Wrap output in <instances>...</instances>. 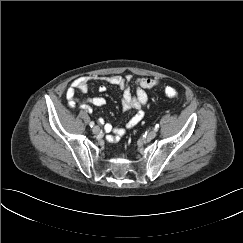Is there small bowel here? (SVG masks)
I'll list each match as a JSON object with an SVG mask.
<instances>
[{"label": "small bowel", "instance_id": "c3829d8e", "mask_svg": "<svg viewBox=\"0 0 243 243\" xmlns=\"http://www.w3.org/2000/svg\"><path fill=\"white\" fill-rule=\"evenodd\" d=\"M93 79L95 78L81 76L70 83L66 96L71 107L79 105L83 110L90 112L91 105L100 107L105 104L106 101L103 97H91L81 100L76 96L77 91L82 93L87 92L89 84ZM131 80V76H126L124 78L118 75L110 76L106 79L109 84L118 87L122 91L123 110L135 111V114L128 120L126 129H131L142 121L144 117V107L148 102L147 90H150L159 84V81L154 78H138L136 80L137 89L135 94H133L129 87V82ZM106 89V86L103 84L98 87L99 92H105ZM104 128L105 131L110 134L108 137L110 142H118L126 133V129L113 127L109 123H107Z\"/></svg>", "mask_w": 243, "mask_h": 243}]
</instances>
